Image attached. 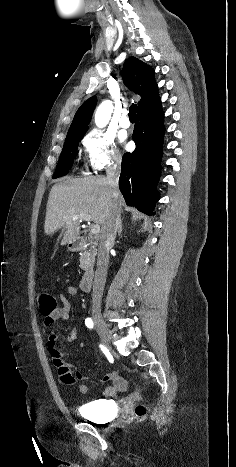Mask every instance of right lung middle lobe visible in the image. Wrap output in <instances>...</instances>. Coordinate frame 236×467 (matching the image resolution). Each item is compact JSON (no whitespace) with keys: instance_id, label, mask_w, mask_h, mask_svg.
Wrapping results in <instances>:
<instances>
[{"instance_id":"obj_1","label":"right lung middle lobe","mask_w":236,"mask_h":467,"mask_svg":"<svg viewBox=\"0 0 236 467\" xmlns=\"http://www.w3.org/2000/svg\"><path fill=\"white\" fill-rule=\"evenodd\" d=\"M85 133L67 135L53 178L66 175L73 165L79 142Z\"/></svg>"}]
</instances>
